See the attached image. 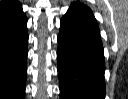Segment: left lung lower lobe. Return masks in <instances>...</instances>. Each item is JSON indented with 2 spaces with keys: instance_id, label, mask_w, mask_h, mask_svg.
Wrapping results in <instances>:
<instances>
[{
  "instance_id": "obj_1",
  "label": "left lung lower lobe",
  "mask_w": 128,
  "mask_h": 99,
  "mask_svg": "<svg viewBox=\"0 0 128 99\" xmlns=\"http://www.w3.org/2000/svg\"><path fill=\"white\" fill-rule=\"evenodd\" d=\"M61 99H104L105 60L96 19L75 2L61 19L58 35Z\"/></svg>"
}]
</instances>
